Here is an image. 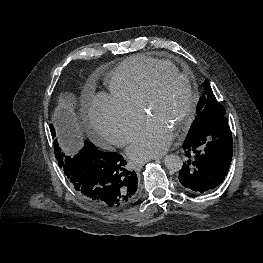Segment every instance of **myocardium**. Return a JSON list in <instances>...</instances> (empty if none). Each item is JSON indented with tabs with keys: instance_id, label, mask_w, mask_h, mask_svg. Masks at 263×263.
Here are the masks:
<instances>
[{
	"instance_id": "obj_1",
	"label": "myocardium",
	"mask_w": 263,
	"mask_h": 263,
	"mask_svg": "<svg viewBox=\"0 0 263 263\" xmlns=\"http://www.w3.org/2000/svg\"><path fill=\"white\" fill-rule=\"evenodd\" d=\"M165 77H174V78L181 79L182 81L185 82L188 92H189L188 107L185 113L178 120L176 129H175V132L179 133L190 123V121L194 117L197 106H198V101H199L198 92L196 88L194 87L191 79L186 74H183L180 71L175 70V69L170 70V69L157 68L156 70H154L143 92V95L140 101V109L143 113L146 112V108L149 102L153 99L156 93L159 81Z\"/></svg>"
}]
</instances>
